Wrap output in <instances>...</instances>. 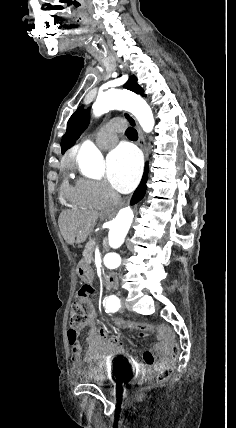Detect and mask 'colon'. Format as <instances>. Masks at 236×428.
Returning a JSON list of instances; mask_svg holds the SVG:
<instances>
[{
	"instance_id": "5ec220e1",
	"label": "colon",
	"mask_w": 236,
	"mask_h": 428,
	"mask_svg": "<svg viewBox=\"0 0 236 428\" xmlns=\"http://www.w3.org/2000/svg\"><path fill=\"white\" fill-rule=\"evenodd\" d=\"M93 288L90 285L81 286L74 298L70 313V329L68 331V340L75 343L77 340V330L86 320V312L90 305V297L93 295ZM114 326L126 327L138 330L143 335L157 334L163 341L169 351V362L160 368L156 373L148 377L150 384H159L168 380L173 371L175 363L180 356V348L175 339L169 334L159 330L156 327L146 326L132 322L116 321L112 322Z\"/></svg>"
}]
</instances>
